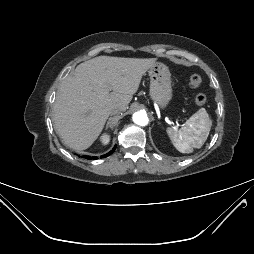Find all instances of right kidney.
<instances>
[{
	"label": "right kidney",
	"instance_id": "right-kidney-1",
	"mask_svg": "<svg viewBox=\"0 0 254 254\" xmlns=\"http://www.w3.org/2000/svg\"><path fill=\"white\" fill-rule=\"evenodd\" d=\"M109 141H110V136L108 134H103L101 136V143L103 145H107L109 143Z\"/></svg>",
	"mask_w": 254,
	"mask_h": 254
}]
</instances>
